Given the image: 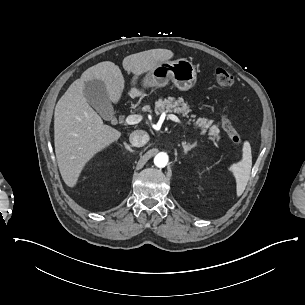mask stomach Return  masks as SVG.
<instances>
[{
  "label": "stomach",
  "instance_id": "obj_1",
  "mask_svg": "<svg viewBox=\"0 0 305 305\" xmlns=\"http://www.w3.org/2000/svg\"><path fill=\"white\" fill-rule=\"evenodd\" d=\"M168 80L180 91H188L197 83L196 67L184 58L161 63L150 72L147 83L164 87Z\"/></svg>",
  "mask_w": 305,
  "mask_h": 305
}]
</instances>
